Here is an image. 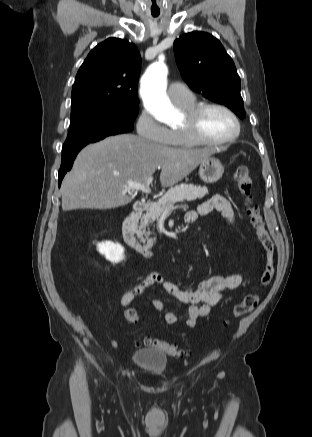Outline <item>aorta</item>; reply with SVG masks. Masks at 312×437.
I'll list each match as a JSON object with an SVG mask.
<instances>
[{
    "mask_svg": "<svg viewBox=\"0 0 312 437\" xmlns=\"http://www.w3.org/2000/svg\"><path fill=\"white\" fill-rule=\"evenodd\" d=\"M167 73L162 60L154 62L143 75L140 88L145 107L162 123H170L175 116V110L166 94Z\"/></svg>",
    "mask_w": 312,
    "mask_h": 437,
    "instance_id": "obj_1",
    "label": "aorta"
}]
</instances>
